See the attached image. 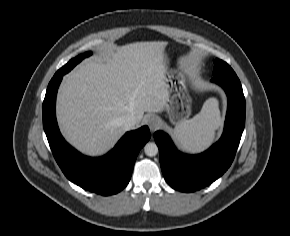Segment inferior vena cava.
Returning <instances> with one entry per match:
<instances>
[{"label": "inferior vena cava", "mask_w": 290, "mask_h": 236, "mask_svg": "<svg viewBox=\"0 0 290 236\" xmlns=\"http://www.w3.org/2000/svg\"><path fill=\"white\" fill-rule=\"evenodd\" d=\"M120 123L125 130H130L136 125L137 118L133 114H127L121 118Z\"/></svg>", "instance_id": "obj_1"}]
</instances>
